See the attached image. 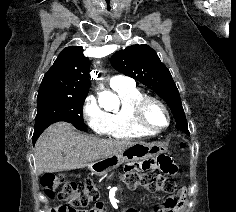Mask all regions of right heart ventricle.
Returning <instances> with one entry per match:
<instances>
[{
  "label": "right heart ventricle",
  "mask_w": 236,
  "mask_h": 212,
  "mask_svg": "<svg viewBox=\"0 0 236 212\" xmlns=\"http://www.w3.org/2000/svg\"><path fill=\"white\" fill-rule=\"evenodd\" d=\"M120 99V107L116 111L106 113L105 134L113 139H139L153 135L140 128L134 120V105L144 93L134 84L113 89Z\"/></svg>",
  "instance_id": "1"
}]
</instances>
